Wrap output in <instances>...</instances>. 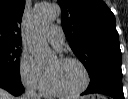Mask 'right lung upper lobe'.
I'll return each mask as SVG.
<instances>
[{"mask_svg": "<svg viewBox=\"0 0 128 99\" xmlns=\"http://www.w3.org/2000/svg\"><path fill=\"white\" fill-rule=\"evenodd\" d=\"M25 0H0V45L22 44L20 24Z\"/></svg>", "mask_w": 128, "mask_h": 99, "instance_id": "cb5924a9", "label": "right lung upper lobe"}]
</instances>
